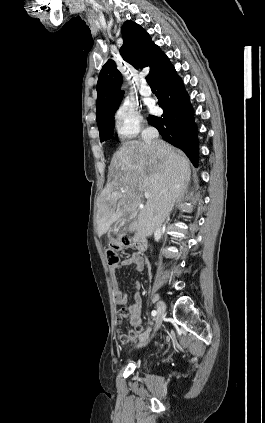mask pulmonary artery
Here are the masks:
<instances>
[{"instance_id":"obj_1","label":"pulmonary artery","mask_w":265,"mask_h":423,"mask_svg":"<svg viewBox=\"0 0 265 423\" xmlns=\"http://www.w3.org/2000/svg\"><path fill=\"white\" fill-rule=\"evenodd\" d=\"M139 91L143 96H150L151 93H152L150 87L146 84L145 81H142V84H141Z\"/></svg>"}]
</instances>
